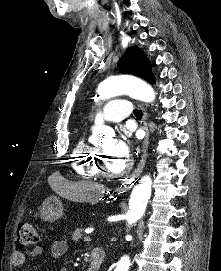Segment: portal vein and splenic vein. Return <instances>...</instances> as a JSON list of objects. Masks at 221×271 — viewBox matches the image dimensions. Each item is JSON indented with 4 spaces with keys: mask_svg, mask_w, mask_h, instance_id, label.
I'll return each mask as SVG.
<instances>
[{
    "mask_svg": "<svg viewBox=\"0 0 221 271\" xmlns=\"http://www.w3.org/2000/svg\"><path fill=\"white\" fill-rule=\"evenodd\" d=\"M84 242H91V237H84Z\"/></svg>",
    "mask_w": 221,
    "mask_h": 271,
    "instance_id": "1",
    "label": "portal vein and splenic vein"
}]
</instances>
